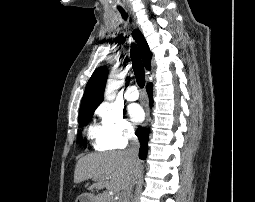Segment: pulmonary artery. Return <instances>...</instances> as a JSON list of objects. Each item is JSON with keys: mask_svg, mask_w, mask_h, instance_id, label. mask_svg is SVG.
Returning <instances> with one entry per match:
<instances>
[{"mask_svg": "<svg viewBox=\"0 0 255 202\" xmlns=\"http://www.w3.org/2000/svg\"><path fill=\"white\" fill-rule=\"evenodd\" d=\"M125 97L129 101L137 100L139 97L137 87L135 85H130L125 92Z\"/></svg>", "mask_w": 255, "mask_h": 202, "instance_id": "e3ab8cb5", "label": "pulmonary artery"}]
</instances>
